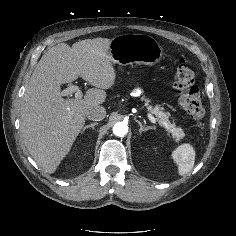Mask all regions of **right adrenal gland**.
Wrapping results in <instances>:
<instances>
[{
	"mask_svg": "<svg viewBox=\"0 0 236 236\" xmlns=\"http://www.w3.org/2000/svg\"><path fill=\"white\" fill-rule=\"evenodd\" d=\"M97 124H98V123L95 122V123H91V124H89V125L84 126L83 129H82V131H81V133L83 134V133L85 132V130L88 129V128H91V129L93 130V129H94V126H96Z\"/></svg>",
	"mask_w": 236,
	"mask_h": 236,
	"instance_id": "right-adrenal-gland-1",
	"label": "right adrenal gland"
}]
</instances>
